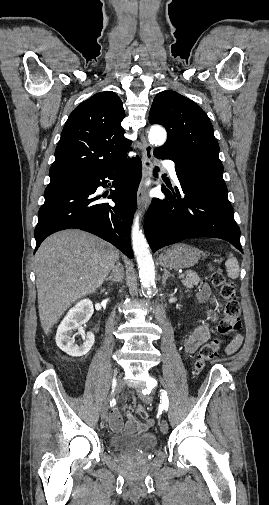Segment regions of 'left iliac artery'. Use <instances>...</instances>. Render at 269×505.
<instances>
[{
  "instance_id": "obj_1",
  "label": "left iliac artery",
  "mask_w": 269,
  "mask_h": 505,
  "mask_svg": "<svg viewBox=\"0 0 269 505\" xmlns=\"http://www.w3.org/2000/svg\"><path fill=\"white\" fill-rule=\"evenodd\" d=\"M160 398H161V403L159 405L160 409L167 411L169 406V399L167 392L165 390H161Z\"/></svg>"
}]
</instances>
